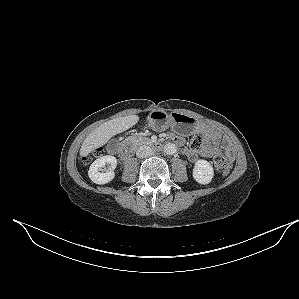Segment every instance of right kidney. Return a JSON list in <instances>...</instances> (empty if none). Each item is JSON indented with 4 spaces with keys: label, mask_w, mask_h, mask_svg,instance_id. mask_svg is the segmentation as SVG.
<instances>
[{
    "label": "right kidney",
    "mask_w": 299,
    "mask_h": 299,
    "mask_svg": "<svg viewBox=\"0 0 299 299\" xmlns=\"http://www.w3.org/2000/svg\"><path fill=\"white\" fill-rule=\"evenodd\" d=\"M108 165L106 172H101L102 167ZM117 166V159L114 156L106 155L95 160L88 171V176L96 184H106L114 179V170Z\"/></svg>",
    "instance_id": "1"
}]
</instances>
